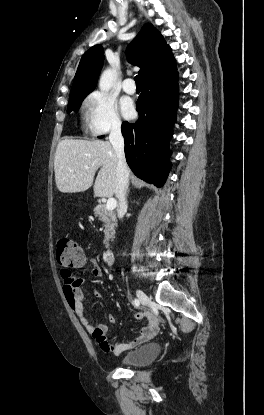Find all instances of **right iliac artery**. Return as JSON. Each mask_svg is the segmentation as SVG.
<instances>
[{
    "label": "right iliac artery",
    "instance_id": "right-iliac-artery-1",
    "mask_svg": "<svg viewBox=\"0 0 264 415\" xmlns=\"http://www.w3.org/2000/svg\"><path fill=\"white\" fill-rule=\"evenodd\" d=\"M134 305L138 307V306L140 305L139 300L135 299V300H134Z\"/></svg>",
    "mask_w": 264,
    "mask_h": 415
}]
</instances>
